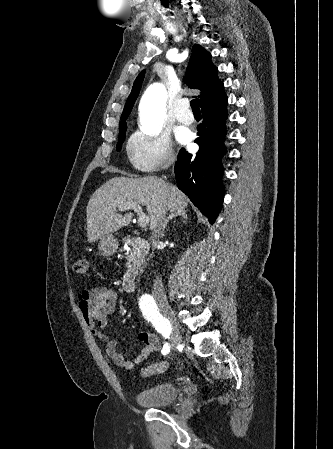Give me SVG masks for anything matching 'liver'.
I'll list each match as a JSON object with an SVG mask.
<instances>
[{"label": "liver", "mask_w": 333, "mask_h": 449, "mask_svg": "<svg viewBox=\"0 0 333 449\" xmlns=\"http://www.w3.org/2000/svg\"><path fill=\"white\" fill-rule=\"evenodd\" d=\"M135 202L146 207L150 216V229L158 212L166 208L170 212L184 210L188 198L175 186L156 177H115L99 187L91 196L86 208L87 238L93 243L130 223L132 214L117 213L119 206Z\"/></svg>", "instance_id": "obj_1"}]
</instances>
